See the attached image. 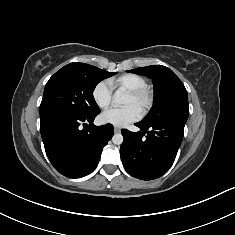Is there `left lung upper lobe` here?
Instances as JSON below:
<instances>
[{"label": "left lung upper lobe", "mask_w": 235, "mask_h": 235, "mask_svg": "<svg viewBox=\"0 0 235 235\" xmlns=\"http://www.w3.org/2000/svg\"><path fill=\"white\" fill-rule=\"evenodd\" d=\"M153 80L154 102L147 116L141 121L150 123L162 119L186 122L189 115L188 94L184 84L169 68L152 65L129 70Z\"/></svg>", "instance_id": "5c2ea615"}]
</instances>
